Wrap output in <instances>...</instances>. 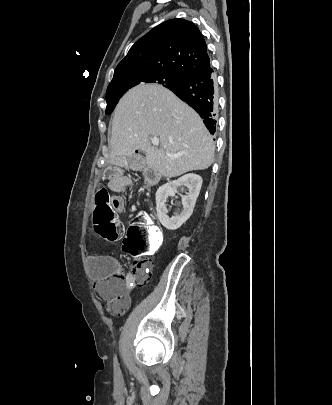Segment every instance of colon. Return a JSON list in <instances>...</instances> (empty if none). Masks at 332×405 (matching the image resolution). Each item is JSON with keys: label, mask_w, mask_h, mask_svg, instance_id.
<instances>
[{"label": "colon", "mask_w": 332, "mask_h": 405, "mask_svg": "<svg viewBox=\"0 0 332 405\" xmlns=\"http://www.w3.org/2000/svg\"><path fill=\"white\" fill-rule=\"evenodd\" d=\"M151 174L146 177L150 179ZM111 190L100 188L95 196L93 226L95 232L104 240L115 241L122 233V225L112 210ZM162 232L154 221L144 213L137 215L129 226V236L123 249L124 256H154L161 243ZM153 273V262L150 258L136 259L130 274L112 273L96 284L98 297L110 305L112 311L124 306L127 291L134 284H146Z\"/></svg>", "instance_id": "obj_1"}]
</instances>
